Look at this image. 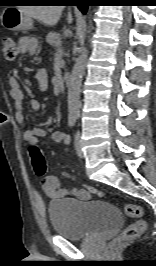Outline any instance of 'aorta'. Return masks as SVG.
Wrapping results in <instances>:
<instances>
[{"mask_svg": "<svg viewBox=\"0 0 156 266\" xmlns=\"http://www.w3.org/2000/svg\"><path fill=\"white\" fill-rule=\"evenodd\" d=\"M90 32V31H89ZM88 50L83 47L75 61L68 82V112L69 116L78 117L80 113V88L82 76L85 71Z\"/></svg>", "mask_w": 156, "mask_h": 266, "instance_id": "aorta-1", "label": "aorta"}]
</instances>
